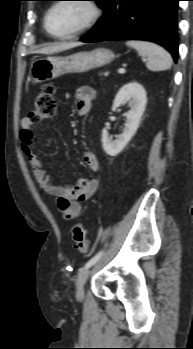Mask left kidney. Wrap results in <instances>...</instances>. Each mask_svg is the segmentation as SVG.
<instances>
[{"instance_id": "left-kidney-1", "label": "left kidney", "mask_w": 193, "mask_h": 349, "mask_svg": "<svg viewBox=\"0 0 193 349\" xmlns=\"http://www.w3.org/2000/svg\"><path fill=\"white\" fill-rule=\"evenodd\" d=\"M124 102H128L131 109L126 114V123L122 134L116 140H112L108 131L102 130V146L106 154L110 156L118 155L139 127L147 103L146 91L143 86L136 81L122 86L114 99L112 111H115Z\"/></svg>"}]
</instances>
